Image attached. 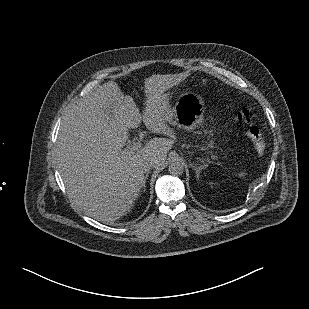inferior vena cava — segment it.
Returning a JSON list of instances; mask_svg holds the SVG:
<instances>
[{
	"mask_svg": "<svg viewBox=\"0 0 309 309\" xmlns=\"http://www.w3.org/2000/svg\"><path fill=\"white\" fill-rule=\"evenodd\" d=\"M157 167V165L153 164V163H149L145 166L144 170L145 172H149L152 168Z\"/></svg>",
	"mask_w": 309,
	"mask_h": 309,
	"instance_id": "602c4592",
	"label": "inferior vena cava"
}]
</instances>
